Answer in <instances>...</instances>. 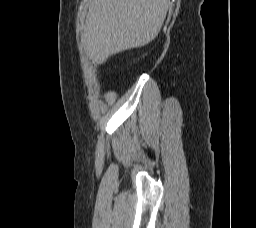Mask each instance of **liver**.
Returning a JSON list of instances; mask_svg holds the SVG:
<instances>
[{"instance_id":"liver-1","label":"liver","mask_w":256,"mask_h":228,"mask_svg":"<svg viewBox=\"0 0 256 228\" xmlns=\"http://www.w3.org/2000/svg\"><path fill=\"white\" fill-rule=\"evenodd\" d=\"M168 0H90L81 39L98 64L119 52L139 48L156 38Z\"/></svg>"}]
</instances>
